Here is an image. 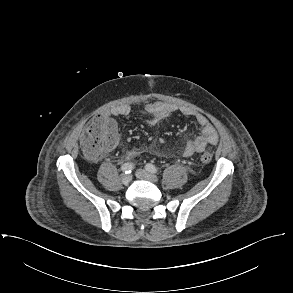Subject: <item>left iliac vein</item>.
<instances>
[{"mask_svg":"<svg viewBox=\"0 0 293 293\" xmlns=\"http://www.w3.org/2000/svg\"><path fill=\"white\" fill-rule=\"evenodd\" d=\"M136 176L139 178V179H144V180H147V181H150L152 183H157L158 182V178L156 175L146 171V170H143V169H138L136 171Z\"/></svg>","mask_w":293,"mask_h":293,"instance_id":"4c4485c4","label":"left iliac vein"}]
</instances>
